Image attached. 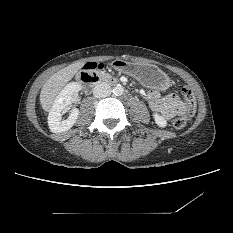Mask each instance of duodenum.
Here are the masks:
<instances>
[{
    "instance_id": "obj_1",
    "label": "duodenum",
    "mask_w": 233,
    "mask_h": 233,
    "mask_svg": "<svg viewBox=\"0 0 233 233\" xmlns=\"http://www.w3.org/2000/svg\"><path fill=\"white\" fill-rule=\"evenodd\" d=\"M78 80L86 90H90L100 82V77L92 72L83 71L80 73ZM110 82L113 85L121 84L118 79H110Z\"/></svg>"
}]
</instances>
